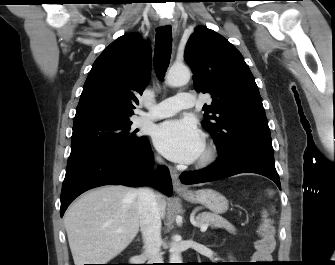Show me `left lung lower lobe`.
<instances>
[{
	"mask_svg": "<svg viewBox=\"0 0 335 265\" xmlns=\"http://www.w3.org/2000/svg\"><path fill=\"white\" fill-rule=\"evenodd\" d=\"M239 173L263 175L274 181L281 189L273 153L251 146H239L221 153L214 164L200 171L183 173L180 179L183 184H196Z\"/></svg>",
	"mask_w": 335,
	"mask_h": 265,
	"instance_id": "obj_1",
	"label": "left lung lower lobe"
}]
</instances>
